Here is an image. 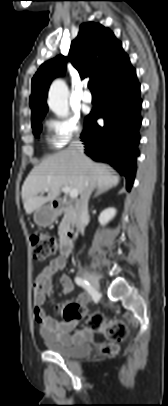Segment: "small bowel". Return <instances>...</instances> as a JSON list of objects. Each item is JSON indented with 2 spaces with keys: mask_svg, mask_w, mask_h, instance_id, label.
I'll return each mask as SVG.
<instances>
[{
  "mask_svg": "<svg viewBox=\"0 0 168 406\" xmlns=\"http://www.w3.org/2000/svg\"><path fill=\"white\" fill-rule=\"evenodd\" d=\"M65 266L66 258L58 256L37 275L33 283V307L35 319L39 323L41 333L45 338L62 344H71L89 337L91 333L87 330H77L79 325L78 316L72 320H60L58 317L64 316V310L67 306L76 307L80 313L90 302V296L81 293L70 301L58 304L53 309V315L47 314L44 309L45 301L54 287L53 276L58 272H62ZM59 285L64 294H70L75 289L70 276L65 273L61 274Z\"/></svg>",
  "mask_w": 168,
  "mask_h": 406,
  "instance_id": "1",
  "label": "small bowel"
}]
</instances>
